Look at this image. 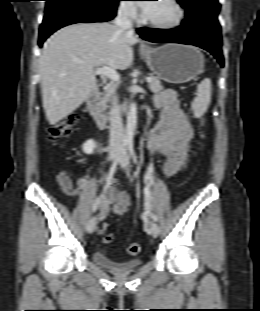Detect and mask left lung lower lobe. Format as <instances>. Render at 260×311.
I'll use <instances>...</instances> for the list:
<instances>
[{"mask_svg":"<svg viewBox=\"0 0 260 311\" xmlns=\"http://www.w3.org/2000/svg\"><path fill=\"white\" fill-rule=\"evenodd\" d=\"M140 36L157 43H182L201 47L217 58L224 66L222 55L221 29L205 23H186L175 29L139 28Z\"/></svg>","mask_w":260,"mask_h":311,"instance_id":"obj_1","label":"left lung lower lobe"}]
</instances>
